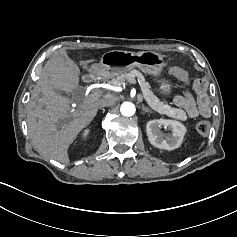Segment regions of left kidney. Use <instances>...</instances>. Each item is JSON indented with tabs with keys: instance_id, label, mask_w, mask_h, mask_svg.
Returning a JSON list of instances; mask_svg holds the SVG:
<instances>
[{
	"instance_id": "obj_1",
	"label": "left kidney",
	"mask_w": 237,
	"mask_h": 237,
	"mask_svg": "<svg viewBox=\"0 0 237 237\" xmlns=\"http://www.w3.org/2000/svg\"><path fill=\"white\" fill-rule=\"evenodd\" d=\"M164 127L171 131V137H165L160 128ZM149 142L158 149H177L183 140L186 128L179 122L173 120H151L146 126Z\"/></svg>"
}]
</instances>
